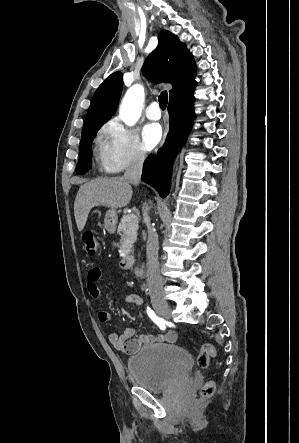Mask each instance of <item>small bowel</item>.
Segmentation results:
<instances>
[{"label": "small bowel", "mask_w": 299, "mask_h": 443, "mask_svg": "<svg viewBox=\"0 0 299 443\" xmlns=\"http://www.w3.org/2000/svg\"><path fill=\"white\" fill-rule=\"evenodd\" d=\"M101 278V270L99 268H92L87 275V290L89 294L95 298L100 299L101 293L98 287V280ZM126 302L129 304H136L142 306L144 299L136 293L128 294ZM111 318L109 312L100 310L98 312V319L101 322H107ZM110 343L116 350L123 351L127 355L137 352L143 345L153 343H173L177 335L175 331H167L163 334H139L135 336V331L132 328H125L122 333L111 332L108 336Z\"/></svg>", "instance_id": "obj_1"}]
</instances>
